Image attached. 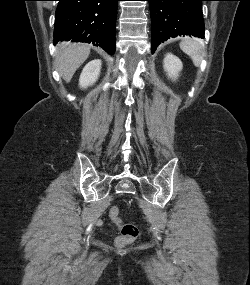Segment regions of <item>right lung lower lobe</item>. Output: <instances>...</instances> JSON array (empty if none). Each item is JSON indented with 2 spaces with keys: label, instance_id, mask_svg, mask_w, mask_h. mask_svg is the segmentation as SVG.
<instances>
[{
  "label": "right lung lower lobe",
  "instance_id": "1",
  "mask_svg": "<svg viewBox=\"0 0 250 285\" xmlns=\"http://www.w3.org/2000/svg\"><path fill=\"white\" fill-rule=\"evenodd\" d=\"M54 39L92 43L110 55L115 52L119 0H58Z\"/></svg>",
  "mask_w": 250,
  "mask_h": 285
}]
</instances>
